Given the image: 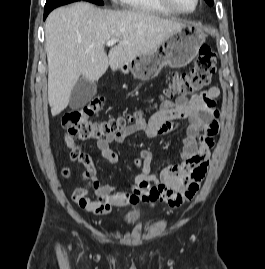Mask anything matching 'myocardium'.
Returning a JSON list of instances; mask_svg holds the SVG:
<instances>
[{
    "mask_svg": "<svg viewBox=\"0 0 265 269\" xmlns=\"http://www.w3.org/2000/svg\"><path fill=\"white\" fill-rule=\"evenodd\" d=\"M166 9L174 12V13H179V14H191L193 13L198 5H199V1L200 0H195V5L193 7V9L191 10H183V9H180L178 7H176L171 0H158Z\"/></svg>",
    "mask_w": 265,
    "mask_h": 269,
    "instance_id": "obj_1",
    "label": "myocardium"
}]
</instances>
